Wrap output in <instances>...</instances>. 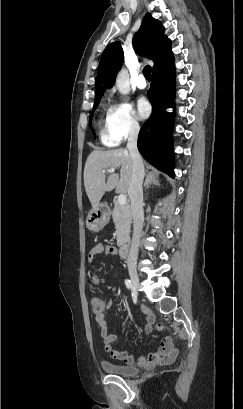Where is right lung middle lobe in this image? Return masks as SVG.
<instances>
[{
	"instance_id": "right-lung-middle-lobe-1",
	"label": "right lung middle lobe",
	"mask_w": 243,
	"mask_h": 409,
	"mask_svg": "<svg viewBox=\"0 0 243 409\" xmlns=\"http://www.w3.org/2000/svg\"><path fill=\"white\" fill-rule=\"evenodd\" d=\"M100 100H101V98H96V99H95L94 106H93V111H92V114H91L90 119H89V125H90V126H91V119H92L93 112H94V110L97 108V106H98ZM92 131H93V129H92ZM93 132H94V131H93Z\"/></svg>"
}]
</instances>
